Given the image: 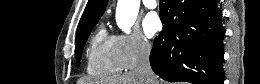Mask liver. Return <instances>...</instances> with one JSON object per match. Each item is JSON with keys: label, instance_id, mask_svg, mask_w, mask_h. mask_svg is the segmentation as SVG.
Instances as JSON below:
<instances>
[{"label": "liver", "instance_id": "liver-1", "mask_svg": "<svg viewBox=\"0 0 260 84\" xmlns=\"http://www.w3.org/2000/svg\"><path fill=\"white\" fill-rule=\"evenodd\" d=\"M82 82L83 84H144L143 79L134 72L114 75L103 79H88ZM157 84H159V81H157Z\"/></svg>", "mask_w": 260, "mask_h": 84}]
</instances>
